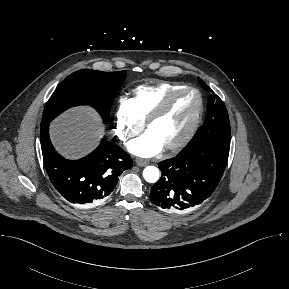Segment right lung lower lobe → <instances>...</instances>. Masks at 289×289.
<instances>
[{
    "mask_svg": "<svg viewBox=\"0 0 289 289\" xmlns=\"http://www.w3.org/2000/svg\"><path fill=\"white\" fill-rule=\"evenodd\" d=\"M40 140L46 171L53 186L73 204L102 202L114 190L122 172L133 165L121 147L105 139L82 159L63 158L50 141L49 123L41 126Z\"/></svg>",
    "mask_w": 289,
    "mask_h": 289,
    "instance_id": "right-lung-lower-lobe-1",
    "label": "right lung lower lobe"
}]
</instances>
